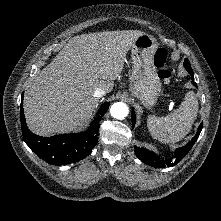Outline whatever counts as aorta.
Here are the masks:
<instances>
[{
	"mask_svg": "<svg viewBox=\"0 0 221 221\" xmlns=\"http://www.w3.org/2000/svg\"><path fill=\"white\" fill-rule=\"evenodd\" d=\"M110 113L113 118L123 119L128 115L129 109L125 103L116 102L111 106Z\"/></svg>",
	"mask_w": 221,
	"mask_h": 221,
	"instance_id": "aorta-1",
	"label": "aorta"
}]
</instances>
